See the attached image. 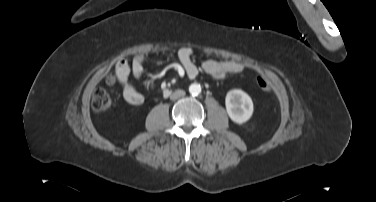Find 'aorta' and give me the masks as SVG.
<instances>
[{"mask_svg": "<svg viewBox=\"0 0 376 202\" xmlns=\"http://www.w3.org/2000/svg\"><path fill=\"white\" fill-rule=\"evenodd\" d=\"M189 92L193 96H197L201 93V86L198 83H193L189 86Z\"/></svg>", "mask_w": 376, "mask_h": 202, "instance_id": "aorta-1", "label": "aorta"}]
</instances>
